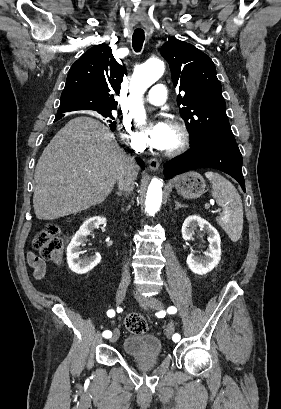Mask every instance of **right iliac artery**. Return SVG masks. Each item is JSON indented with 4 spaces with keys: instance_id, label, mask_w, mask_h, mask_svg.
<instances>
[{
    "instance_id": "82829eb1",
    "label": "right iliac artery",
    "mask_w": 281,
    "mask_h": 409,
    "mask_svg": "<svg viewBox=\"0 0 281 409\" xmlns=\"http://www.w3.org/2000/svg\"><path fill=\"white\" fill-rule=\"evenodd\" d=\"M107 315L109 317H113L115 315V311L114 310H108ZM103 336L105 338H110L112 336V333H111V331L106 330V331L103 332Z\"/></svg>"
}]
</instances>
